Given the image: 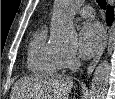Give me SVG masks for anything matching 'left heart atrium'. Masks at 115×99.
Listing matches in <instances>:
<instances>
[{"label": "left heart atrium", "mask_w": 115, "mask_h": 99, "mask_svg": "<svg viewBox=\"0 0 115 99\" xmlns=\"http://www.w3.org/2000/svg\"><path fill=\"white\" fill-rule=\"evenodd\" d=\"M103 27L97 22L85 24L79 32L78 51L79 54L88 58L95 54L104 41Z\"/></svg>", "instance_id": "obj_1"}]
</instances>
